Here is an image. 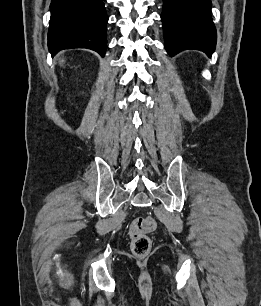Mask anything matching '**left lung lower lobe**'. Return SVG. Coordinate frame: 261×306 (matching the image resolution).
Returning a JSON list of instances; mask_svg holds the SVG:
<instances>
[{
    "label": "left lung lower lobe",
    "mask_w": 261,
    "mask_h": 306,
    "mask_svg": "<svg viewBox=\"0 0 261 306\" xmlns=\"http://www.w3.org/2000/svg\"><path fill=\"white\" fill-rule=\"evenodd\" d=\"M210 9L211 0H163L161 20L169 55L186 49L212 55L217 34Z\"/></svg>",
    "instance_id": "0a47b994"
}]
</instances>
